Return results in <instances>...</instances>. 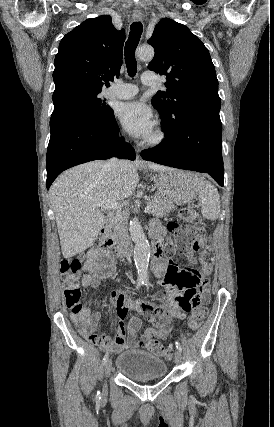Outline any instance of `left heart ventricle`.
<instances>
[{"label":"left heart ventricle","mask_w":274,"mask_h":427,"mask_svg":"<svg viewBox=\"0 0 274 427\" xmlns=\"http://www.w3.org/2000/svg\"><path fill=\"white\" fill-rule=\"evenodd\" d=\"M154 134H155V129H154V131L146 139H149V138L153 137Z\"/></svg>","instance_id":"left-heart-ventricle-1"}]
</instances>
